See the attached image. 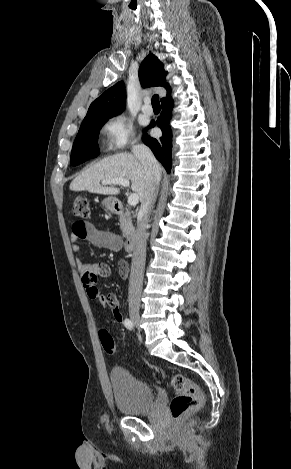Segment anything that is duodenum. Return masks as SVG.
<instances>
[{"label":"duodenum","mask_w":291,"mask_h":469,"mask_svg":"<svg viewBox=\"0 0 291 469\" xmlns=\"http://www.w3.org/2000/svg\"><path fill=\"white\" fill-rule=\"evenodd\" d=\"M112 207L114 211L117 213H121L125 210L124 204L119 200L113 201ZM134 247H135V238L133 235H130L127 237L125 241L124 248L127 252H132L134 250Z\"/></svg>","instance_id":"410a0bca"}]
</instances>
